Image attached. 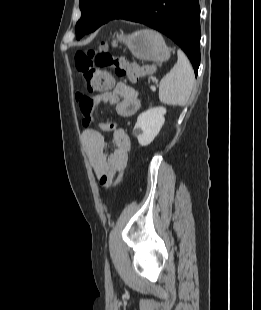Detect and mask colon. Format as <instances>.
Returning a JSON list of instances; mask_svg holds the SVG:
<instances>
[{
  "label": "colon",
  "instance_id": "5ec220e1",
  "mask_svg": "<svg viewBox=\"0 0 261 310\" xmlns=\"http://www.w3.org/2000/svg\"><path fill=\"white\" fill-rule=\"evenodd\" d=\"M74 61L77 71L82 74L90 92H103L111 88L113 79L107 72L108 68H112L117 76L127 77L132 82L138 81L145 73L154 70V66L142 67L113 56L106 43L101 44L98 50L77 51ZM119 181L120 178L103 186L109 188Z\"/></svg>",
  "mask_w": 261,
  "mask_h": 310
}]
</instances>
